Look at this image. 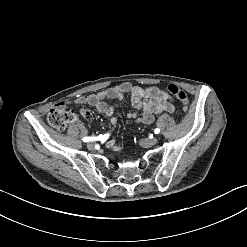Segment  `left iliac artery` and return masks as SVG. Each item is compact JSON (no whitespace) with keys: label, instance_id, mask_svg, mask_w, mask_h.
Segmentation results:
<instances>
[{"label":"left iliac artery","instance_id":"left-iliac-artery-1","mask_svg":"<svg viewBox=\"0 0 247 247\" xmlns=\"http://www.w3.org/2000/svg\"><path fill=\"white\" fill-rule=\"evenodd\" d=\"M154 133H155V134H159V133H160V129H159V128H156V129L154 130Z\"/></svg>","mask_w":247,"mask_h":247}]
</instances>
